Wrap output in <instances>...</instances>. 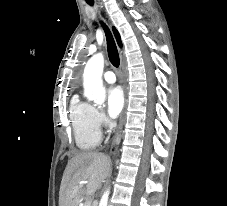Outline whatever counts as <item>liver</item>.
Wrapping results in <instances>:
<instances>
[{
    "mask_svg": "<svg viewBox=\"0 0 227 206\" xmlns=\"http://www.w3.org/2000/svg\"><path fill=\"white\" fill-rule=\"evenodd\" d=\"M109 157L98 152L76 154L64 171L59 206H78L81 198L91 196L100 187L110 170Z\"/></svg>",
    "mask_w": 227,
    "mask_h": 206,
    "instance_id": "6515ba94",
    "label": "liver"
}]
</instances>
